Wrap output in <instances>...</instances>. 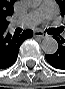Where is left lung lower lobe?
Returning <instances> with one entry per match:
<instances>
[{"mask_svg":"<svg viewBox=\"0 0 65 89\" xmlns=\"http://www.w3.org/2000/svg\"><path fill=\"white\" fill-rule=\"evenodd\" d=\"M58 42V50L54 54L45 55L48 63L57 69L65 70V38L53 36Z\"/></svg>","mask_w":65,"mask_h":89,"instance_id":"obj_1","label":"left lung lower lobe"}]
</instances>
